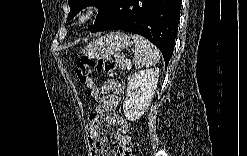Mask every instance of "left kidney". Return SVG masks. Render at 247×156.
<instances>
[{"instance_id":"obj_1","label":"left kidney","mask_w":247,"mask_h":156,"mask_svg":"<svg viewBox=\"0 0 247 156\" xmlns=\"http://www.w3.org/2000/svg\"><path fill=\"white\" fill-rule=\"evenodd\" d=\"M159 78V68L135 72L128 83V95L123 103L125 117L129 121L139 119L148 109L155 94Z\"/></svg>"}]
</instances>
